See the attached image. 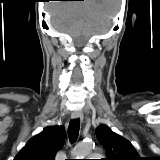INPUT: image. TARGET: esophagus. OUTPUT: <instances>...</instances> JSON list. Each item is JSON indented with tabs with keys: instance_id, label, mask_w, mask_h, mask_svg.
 Listing matches in <instances>:
<instances>
[{
	"instance_id": "1",
	"label": "esophagus",
	"mask_w": 160,
	"mask_h": 160,
	"mask_svg": "<svg viewBox=\"0 0 160 160\" xmlns=\"http://www.w3.org/2000/svg\"><path fill=\"white\" fill-rule=\"evenodd\" d=\"M72 119H79L82 120L83 119V114L81 111H74L71 115Z\"/></svg>"
}]
</instances>
